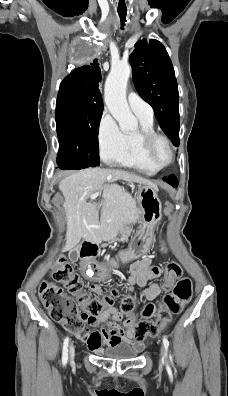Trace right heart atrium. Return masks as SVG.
<instances>
[{
    "label": "right heart atrium",
    "mask_w": 228,
    "mask_h": 396,
    "mask_svg": "<svg viewBox=\"0 0 228 396\" xmlns=\"http://www.w3.org/2000/svg\"><path fill=\"white\" fill-rule=\"evenodd\" d=\"M97 140L101 156L107 162L114 161L124 149L125 133L107 110H104L100 116Z\"/></svg>",
    "instance_id": "right-heart-atrium-1"
}]
</instances>
